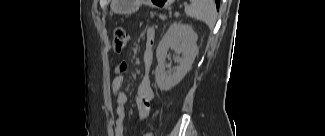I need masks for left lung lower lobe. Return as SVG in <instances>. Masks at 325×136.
<instances>
[{
    "label": "left lung lower lobe",
    "instance_id": "0a47b994",
    "mask_svg": "<svg viewBox=\"0 0 325 136\" xmlns=\"http://www.w3.org/2000/svg\"><path fill=\"white\" fill-rule=\"evenodd\" d=\"M217 9L219 8L220 0H215Z\"/></svg>",
    "mask_w": 325,
    "mask_h": 136
}]
</instances>
